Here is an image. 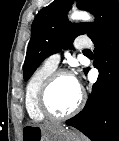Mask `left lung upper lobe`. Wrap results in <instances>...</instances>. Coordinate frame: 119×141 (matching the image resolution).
I'll return each mask as SVG.
<instances>
[{
	"label": "left lung upper lobe",
	"instance_id": "5c2ea615",
	"mask_svg": "<svg viewBox=\"0 0 119 141\" xmlns=\"http://www.w3.org/2000/svg\"><path fill=\"white\" fill-rule=\"evenodd\" d=\"M72 4L73 0H54L38 12L32 23L31 39L24 62L25 81L45 58L63 47L71 48L73 40L79 35L87 34L91 37L119 9L117 0H77V7L93 13L96 23H71L67 19V13Z\"/></svg>",
	"mask_w": 119,
	"mask_h": 141
}]
</instances>
